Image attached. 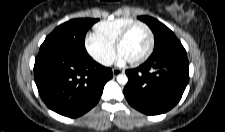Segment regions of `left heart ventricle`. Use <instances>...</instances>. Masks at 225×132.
Instances as JSON below:
<instances>
[{"label":"left heart ventricle","mask_w":225,"mask_h":132,"mask_svg":"<svg viewBox=\"0 0 225 132\" xmlns=\"http://www.w3.org/2000/svg\"><path fill=\"white\" fill-rule=\"evenodd\" d=\"M149 35L143 27L135 28L122 43L119 54L127 61L141 57L148 49Z\"/></svg>","instance_id":"1"}]
</instances>
